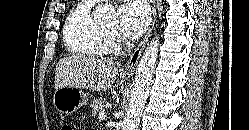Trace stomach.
Segmentation results:
<instances>
[{
  "label": "stomach",
  "mask_w": 249,
  "mask_h": 130,
  "mask_svg": "<svg viewBox=\"0 0 249 130\" xmlns=\"http://www.w3.org/2000/svg\"><path fill=\"white\" fill-rule=\"evenodd\" d=\"M53 103L59 112L69 115L86 105L88 96L81 89L65 86L55 91Z\"/></svg>",
  "instance_id": "stomach-1"
}]
</instances>
